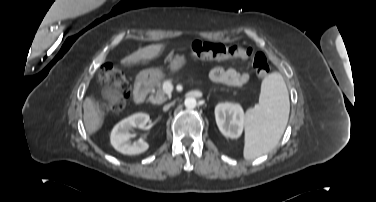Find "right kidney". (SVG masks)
I'll return each instance as SVG.
<instances>
[{
    "label": "right kidney",
    "instance_id": "right-kidney-1",
    "mask_svg": "<svg viewBox=\"0 0 376 202\" xmlns=\"http://www.w3.org/2000/svg\"><path fill=\"white\" fill-rule=\"evenodd\" d=\"M150 116L146 113H135L117 123L112 129L110 141L112 146L122 154L137 155L145 152L149 145L143 140L131 143L129 141L130 130L135 127L143 128Z\"/></svg>",
    "mask_w": 376,
    "mask_h": 202
}]
</instances>
